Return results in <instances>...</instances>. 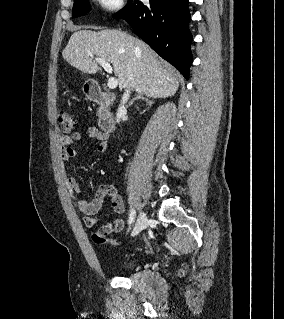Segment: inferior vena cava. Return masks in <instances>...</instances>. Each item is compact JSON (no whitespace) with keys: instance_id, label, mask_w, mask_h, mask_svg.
Masks as SVG:
<instances>
[{"instance_id":"inferior-vena-cava-1","label":"inferior vena cava","mask_w":284,"mask_h":319,"mask_svg":"<svg viewBox=\"0 0 284 319\" xmlns=\"http://www.w3.org/2000/svg\"><path fill=\"white\" fill-rule=\"evenodd\" d=\"M130 89L131 88L127 89L126 92L122 96L121 104L119 105V108H118V112H120V113H125L126 112L125 104H126V102L128 101V99L130 97Z\"/></svg>"}]
</instances>
